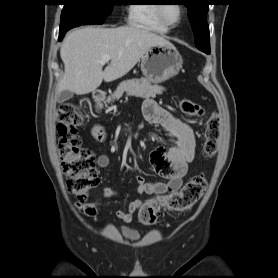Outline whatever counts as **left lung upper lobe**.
<instances>
[{
	"instance_id": "5c2ea615",
	"label": "left lung upper lobe",
	"mask_w": 278,
	"mask_h": 278,
	"mask_svg": "<svg viewBox=\"0 0 278 278\" xmlns=\"http://www.w3.org/2000/svg\"><path fill=\"white\" fill-rule=\"evenodd\" d=\"M189 13L188 17L195 34L196 47L203 52H210L209 26L206 14L209 10L208 0H184Z\"/></svg>"
}]
</instances>
